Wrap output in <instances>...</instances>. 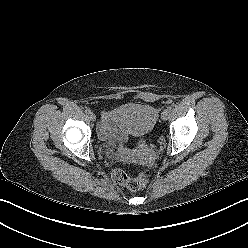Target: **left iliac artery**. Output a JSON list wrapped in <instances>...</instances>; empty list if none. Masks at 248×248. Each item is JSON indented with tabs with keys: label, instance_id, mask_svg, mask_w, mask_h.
<instances>
[{
	"label": "left iliac artery",
	"instance_id": "1",
	"mask_svg": "<svg viewBox=\"0 0 248 248\" xmlns=\"http://www.w3.org/2000/svg\"><path fill=\"white\" fill-rule=\"evenodd\" d=\"M167 109H168L169 111H171V110H172V107H171V106H169V107H167Z\"/></svg>",
	"mask_w": 248,
	"mask_h": 248
}]
</instances>
